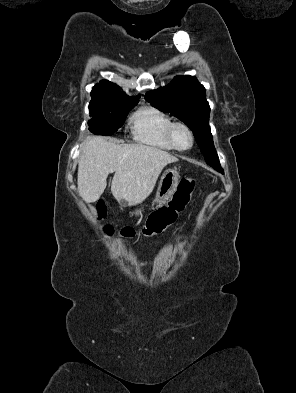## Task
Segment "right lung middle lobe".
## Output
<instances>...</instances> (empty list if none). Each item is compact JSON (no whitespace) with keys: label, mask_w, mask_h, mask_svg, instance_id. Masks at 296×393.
<instances>
[{"label":"right lung middle lobe","mask_w":296,"mask_h":393,"mask_svg":"<svg viewBox=\"0 0 296 393\" xmlns=\"http://www.w3.org/2000/svg\"><path fill=\"white\" fill-rule=\"evenodd\" d=\"M138 101L113 100L89 104L92 118L89 130L96 135H111L120 128L129 111Z\"/></svg>","instance_id":"right-lung-middle-lobe-1"}]
</instances>
